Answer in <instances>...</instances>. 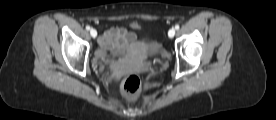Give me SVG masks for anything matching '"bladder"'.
Listing matches in <instances>:
<instances>
[{"label":"bladder","instance_id":"obj_1","mask_svg":"<svg viewBox=\"0 0 276 120\" xmlns=\"http://www.w3.org/2000/svg\"><path fill=\"white\" fill-rule=\"evenodd\" d=\"M141 45L148 57L160 55L163 49L160 42L152 38H144Z\"/></svg>","mask_w":276,"mask_h":120}]
</instances>
